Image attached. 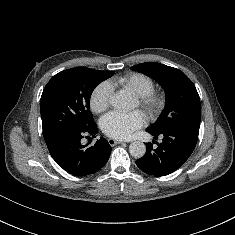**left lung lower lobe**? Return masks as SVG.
<instances>
[{
  "instance_id": "1",
  "label": "left lung lower lobe",
  "mask_w": 235,
  "mask_h": 235,
  "mask_svg": "<svg viewBox=\"0 0 235 235\" xmlns=\"http://www.w3.org/2000/svg\"><path fill=\"white\" fill-rule=\"evenodd\" d=\"M147 131L155 139L162 135L163 142L157 143L155 149L151 143H147L146 154L136 164L143 172L155 176L171 174L181 167L192 154L199 134V130L194 128H177L161 134Z\"/></svg>"
}]
</instances>
